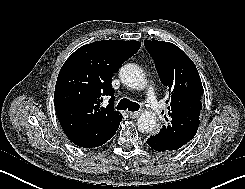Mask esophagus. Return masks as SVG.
Here are the masks:
<instances>
[{
    "mask_svg": "<svg viewBox=\"0 0 245 189\" xmlns=\"http://www.w3.org/2000/svg\"><path fill=\"white\" fill-rule=\"evenodd\" d=\"M130 118H137L140 115V112H128Z\"/></svg>",
    "mask_w": 245,
    "mask_h": 189,
    "instance_id": "34e87169",
    "label": "esophagus"
}]
</instances>
